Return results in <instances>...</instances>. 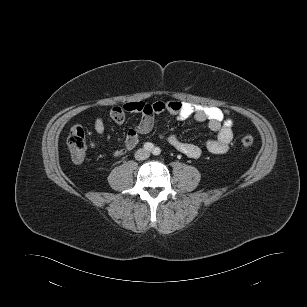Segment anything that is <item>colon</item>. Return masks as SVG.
<instances>
[{
    "label": "colon",
    "mask_w": 307,
    "mask_h": 307,
    "mask_svg": "<svg viewBox=\"0 0 307 307\" xmlns=\"http://www.w3.org/2000/svg\"><path fill=\"white\" fill-rule=\"evenodd\" d=\"M67 143L73 160L76 162H81L87 151V142L84 129L79 125L72 127ZM253 143L254 138L252 135L244 134L240 138V144L245 148L252 146Z\"/></svg>",
    "instance_id": "5ec220e1"
}]
</instances>
